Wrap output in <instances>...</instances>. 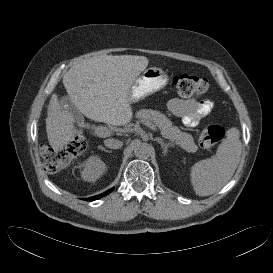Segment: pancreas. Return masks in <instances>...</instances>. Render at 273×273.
I'll list each match as a JSON object with an SVG mask.
<instances>
[{"label": "pancreas", "instance_id": "cf45deb5", "mask_svg": "<svg viewBox=\"0 0 273 273\" xmlns=\"http://www.w3.org/2000/svg\"><path fill=\"white\" fill-rule=\"evenodd\" d=\"M136 117L141 121H148L155 124L165 138L179 145L187 152H196L198 147L194 143L191 134L182 132L177 126H174L164 114L151 109H142L136 113Z\"/></svg>", "mask_w": 273, "mask_h": 273}]
</instances>
